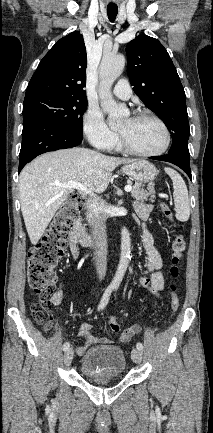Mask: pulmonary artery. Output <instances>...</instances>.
Returning <instances> with one entry per match:
<instances>
[{
	"instance_id": "1",
	"label": "pulmonary artery",
	"mask_w": 213,
	"mask_h": 433,
	"mask_svg": "<svg viewBox=\"0 0 213 433\" xmlns=\"http://www.w3.org/2000/svg\"><path fill=\"white\" fill-rule=\"evenodd\" d=\"M113 94L122 100H128L132 95L131 87L126 79L117 82L113 89Z\"/></svg>"
}]
</instances>
